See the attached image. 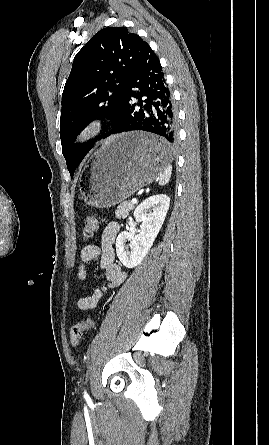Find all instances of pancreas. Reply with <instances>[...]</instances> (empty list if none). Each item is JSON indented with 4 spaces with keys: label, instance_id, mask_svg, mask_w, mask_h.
<instances>
[{
    "label": "pancreas",
    "instance_id": "1",
    "mask_svg": "<svg viewBox=\"0 0 269 445\" xmlns=\"http://www.w3.org/2000/svg\"><path fill=\"white\" fill-rule=\"evenodd\" d=\"M134 209V205L130 202L120 204L115 212L116 218L124 219L129 215V212Z\"/></svg>",
    "mask_w": 269,
    "mask_h": 445
}]
</instances>
